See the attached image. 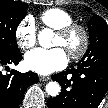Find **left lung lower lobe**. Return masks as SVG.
I'll use <instances>...</instances> for the list:
<instances>
[{
	"label": "left lung lower lobe",
	"instance_id": "1",
	"mask_svg": "<svg viewBox=\"0 0 108 108\" xmlns=\"http://www.w3.org/2000/svg\"><path fill=\"white\" fill-rule=\"evenodd\" d=\"M62 91L47 101L48 108H98L108 91V64L104 62L78 65L52 76ZM75 90V100L66 99L65 94Z\"/></svg>",
	"mask_w": 108,
	"mask_h": 108
}]
</instances>
